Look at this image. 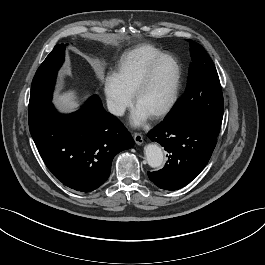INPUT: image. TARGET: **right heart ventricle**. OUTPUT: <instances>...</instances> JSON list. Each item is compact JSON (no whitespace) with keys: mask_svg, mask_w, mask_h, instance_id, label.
I'll use <instances>...</instances> for the list:
<instances>
[{"mask_svg":"<svg viewBox=\"0 0 265 265\" xmlns=\"http://www.w3.org/2000/svg\"><path fill=\"white\" fill-rule=\"evenodd\" d=\"M163 54L151 44H140L128 50L120 58L112 76L119 87L129 96L149 63Z\"/></svg>","mask_w":265,"mask_h":265,"instance_id":"obj_1","label":"right heart ventricle"}]
</instances>
